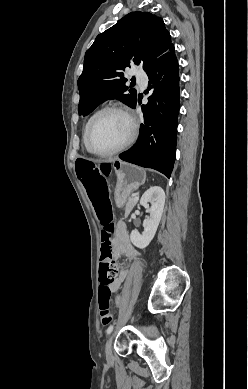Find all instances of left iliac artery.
I'll use <instances>...</instances> for the list:
<instances>
[{"label": "left iliac artery", "instance_id": "obj_1", "mask_svg": "<svg viewBox=\"0 0 248 389\" xmlns=\"http://www.w3.org/2000/svg\"><path fill=\"white\" fill-rule=\"evenodd\" d=\"M113 328H114L113 325H110V326L107 328V331H106L107 335H109V334L113 331Z\"/></svg>", "mask_w": 248, "mask_h": 389}]
</instances>
